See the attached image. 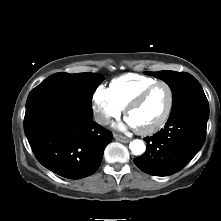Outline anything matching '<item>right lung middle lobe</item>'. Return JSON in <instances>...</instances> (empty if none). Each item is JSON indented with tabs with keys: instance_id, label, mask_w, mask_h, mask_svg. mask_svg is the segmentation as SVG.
Returning a JSON list of instances; mask_svg holds the SVG:
<instances>
[{
	"instance_id": "right-lung-middle-lobe-1",
	"label": "right lung middle lobe",
	"mask_w": 221,
	"mask_h": 221,
	"mask_svg": "<svg viewBox=\"0 0 221 221\" xmlns=\"http://www.w3.org/2000/svg\"><path fill=\"white\" fill-rule=\"evenodd\" d=\"M102 80V75L96 73L53 74L30 92L26 109L44 101H56L92 116V95Z\"/></svg>"
}]
</instances>
